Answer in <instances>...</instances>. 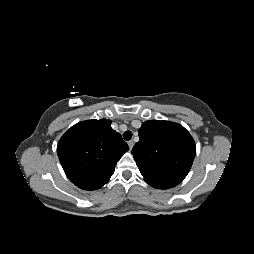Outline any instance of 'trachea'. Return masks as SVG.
<instances>
[{
	"label": "trachea",
	"mask_w": 254,
	"mask_h": 254,
	"mask_svg": "<svg viewBox=\"0 0 254 254\" xmlns=\"http://www.w3.org/2000/svg\"><path fill=\"white\" fill-rule=\"evenodd\" d=\"M123 138H124V140H126V141L130 140V139L132 138V132H131V131H125V132L123 133Z\"/></svg>",
	"instance_id": "1"
}]
</instances>
